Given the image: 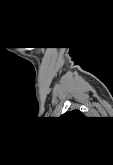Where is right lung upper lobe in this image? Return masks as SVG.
<instances>
[{
    "label": "right lung upper lobe",
    "mask_w": 113,
    "mask_h": 165,
    "mask_svg": "<svg viewBox=\"0 0 113 165\" xmlns=\"http://www.w3.org/2000/svg\"><path fill=\"white\" fill-rule=\"evenodd\" d=\"M61 117H63V118H71V117H73V118H83L84 115L79 110H73V111H70V112H66Z\"/></svg>",
    "instance_id": "obj_1"
}]
</instances>
